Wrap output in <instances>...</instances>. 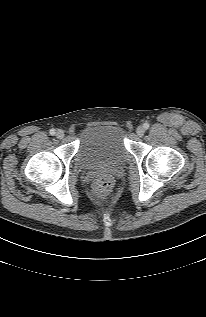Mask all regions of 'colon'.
<instances>
[{
  "label": "colon",
  "instance_id": "obj_1",
  "mask_svg": "<svg viewBox=\"0 0 206 317\" xmlns=\"http://www.w3.org/2000/svg\"><path fill=\"white\" fill-rule=\"evenodd\" d=\"M113 181L110 177H99L93 185L94 194L102 199L109 198L113 193Z\"/></svg>",
  "mask_w": 206,
  "mask_h": 317
}]
</instances>
